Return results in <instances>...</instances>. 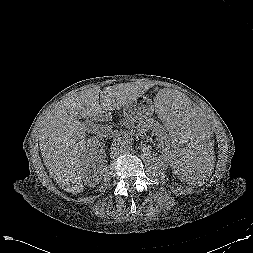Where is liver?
<instances>
[{
    "label": "liver",
    "mask_w": 253,
    "mask_h": 253,
    "mask_svg": "<svg viewBox=\"0 0 253 253\" xmlns=\"http://www.w3.org/2000/svg\"><path fill=\"white\" fill-rule=\"evenodd\" d=\"M150 85L121 83L94 86L60 101L39 127V144L43 162L56 183L66 192L83 191L80 158L85 145L86 125L78 117L97 120L106 111H115L140 98Z\"/></svg>",
    "instance_id": "6515ba94"
}]
</instances>
